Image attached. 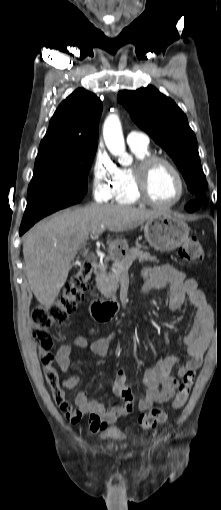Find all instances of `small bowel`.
I'll return each instance as SVG.
<instances>
[{"label":"small bowel","mask_w":221,"mask_h":510,"mask_svg":"<svg viewBox=\"0 0 221 510\" xmlns=\"http://www.w3.org/2000/svg\"><path fill=\"white\" fill-rule=\"evenodd\" d=\"M169 289V307L172 310L179 309L186 299L195 309L192 324L188 332L184 335L182 343L188 356L187 361L179 368L178 376L188 372L198 370L203 362L206 350L213 336V312L206 302L204 293L198 288L195 279L170 265H160L146 268L143 271V284L141 287V298L151 290ZM114 337L95 340L90 345L81 336H75L71 340L64 342L57 350L55 360L61 371L70 373L72 363L70 353L73 347L86 348L98 356L108 355ZM178 356H168L156 361L150 366L143 376L145 393L137 402L139 412L147 411L154 403H164L169 401L175 394L178 380L171 375L175 365L179 362ZM115 380L112 387L113 394L124 399L125 403L120 406L108 408L104 403L98 400H91L86 390L79 391L75 397V405L69 402L64 393V389H74L79 385L80 377L71 374L58 384V391L62 396V402L59 408L65 418L72 424L81 421L84 415L89 416V426L94 432L102 429L108 423H114L118 418L133 413L135 409L134 396L126 380L125 373L115 369ZM128 390L129 395H123ZM54 393V390H53Z\"/></svg>","instance_id":"small-bowel-1"}]
</instances>
